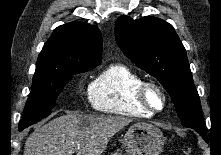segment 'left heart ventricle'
<instances>
[{
	"label": "left heart ventricle",
	"instance_id": "left-heart-ventricle-1",
	"mask_svg": "<svg viewBox=\"0 0 221 155\" xmlns=\"http://www.w3.org/2000/svg\"><path fill=\"white\" fill-rule=\"evenodd\" d=\"M148 99H149L150 103L156 108L160 107L162 104V100H161L160 95L154 90L149 91Z\"/></svg>",
	"mask_w": 221,
	"mask_h": 155
}]
</instances>
